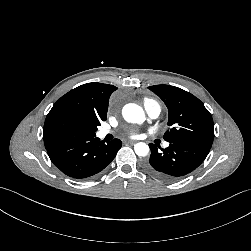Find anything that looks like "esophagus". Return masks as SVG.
<instances>
[{
	"label": "esophagus",
	"mask_w": 251,
	"mask_h": 251,
	"mask_svg": "<svg viewBox=\"0 0 251 251\" xmlns=\"http://www.w3.org/2000/svg\"><path fill=\"white\" fill-rule=\"evenodd\" d=\"M127 143L134 144V143H136V141H134V140H128Z\"/></svg>",
	"instance_id": "1"
}]
</instances>
